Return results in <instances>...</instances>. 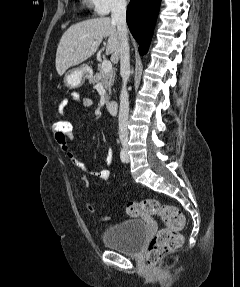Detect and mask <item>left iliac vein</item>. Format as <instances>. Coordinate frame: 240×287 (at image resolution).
<instances>
[{
    "mask_svg": "<svg viewBox=\"0 0 240 287\" xmlns=\"http://www.w3.org/2000/svg\"><path fill=\"white\" fill-rule=\"evenodd\" d=\"M126 162H129V156L127 153H126Z\"/></svg>",
    "mask_w": 240,
    "mask_h": 287,
    "instance_id": "4c4485c4",
    "label": "left iliac vein"
}]
</instances>
